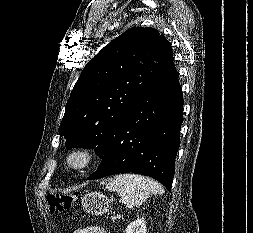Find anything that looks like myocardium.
Here are the masks:
<instances>
[{
	"label": "myocardium",
	"instance_id": "1",
	"mask_svg": "<svg viewBox=\"0 0 253 233\" xmlns=\"http://www.w3.org/2000/svg\"><path fill=\"white\" fill-rule=\"evenodd\" d=\"M98 158V151L92 146H75L64 156V166L70 173H80L90 168Z\"/></svg>",
	"mask_w": 253,
	"mask_h": 233
}]
</instances>
